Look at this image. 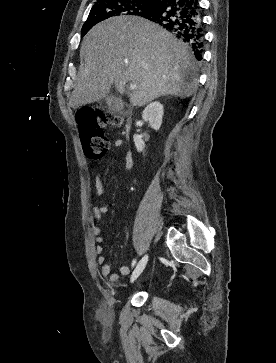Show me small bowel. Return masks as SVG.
<instances>
[{"instance_id":"1","label":"small bowel","mask_w":276,"mask_h":363,"mask_svg":"<svg viewBox=\"0 0 276 363\" xmlns=\"http://www.w3.org/2000/svg\"><path fill=\"white\" fill-rule=\"evenodd\" d=\"M115 146L118 148H123L124 147V143L122 140L118 139L115 141ZM132 155L131 153H126L125 155V168L126 169H130L132 167ZM95 192L96 195L98 197H100L103 194V183L102 180L100 178V176L98 174L95 175ZM109 208L107 205H101V206H93L92 207V217L96 220V221H100V219L102 218V216H104L107 212H108ZM93 235H94V240L96 242V247H95V253L97 255V264L100 268V272L102 274V276L106 277L108 279L109 282L111 283H115L118 281L119 276L123 275V276H128L131 273V267L127 266V265H121L118 268V272L117 273H112L110 266L107 262L106 257L104 256V248L102 246V243L104 241V237L102 234V229L100 226L95 225L93 227Z\"/></svg>"}]
</instances>
